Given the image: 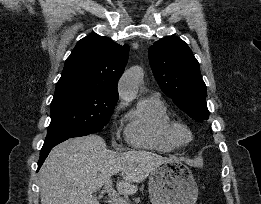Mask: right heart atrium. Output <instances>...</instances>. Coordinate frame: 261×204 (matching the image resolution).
<instances>
[{"label": "right heart atrium", "mask_w": 261, "mask_h": 204, "mask_svg": "<svg viewBox=\"0 0 261 204\" xmlns=\"http://www.w3.org/2000/svg\"><path fill=\"white\" fill-rule=\"evenodd\" d=\"M121 107H122V103H121V102H118V103L115 105V107H114V111L119 110Z\"/></svg>", "instance_id": "1"}]
</instances>
